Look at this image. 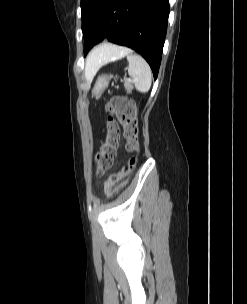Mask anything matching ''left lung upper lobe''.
Returning a JSON list of instances; mask_svg holds the SVG:
<instances>
[{"instance_id": "5c2ea615", "label": "left lung upper lobe", "mask_w": 247, "mask_h": 304, "mask_svg": "<svg viewBox=\"0 0 247 304\" xmlns=\"http://www.w3.org/2000/svg\"><path fill=\"white\" fill-rule=\"evenodd\" d=\"M104 0H81L82 30L98 16Z\"/></svg>"}]
</instances>
